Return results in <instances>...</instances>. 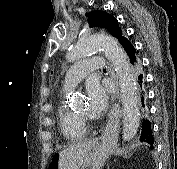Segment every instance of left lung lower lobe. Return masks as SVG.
I'll use <instances>...</instances> for the list:
<instances>
[{
	"instance_id": "1",
	"label": "left lung lower lobe",
	"mask_w": 177,
	"mask_h": 169,
	"mask_svg": "<svg viewBox=\"0 0 177 169\" xmlns=\"http://www.w3.org/2000/svg\"><path fill=\"white\" fill-rule=\"evenodd\" d=\"M125 52H126V56H127V60L129 61V63L133 66V69L135 70V72H140L141 71V66L139 63V59L137 56V51L135 49V47L133 46V44L127 43L124 46ZM138 83L142 84V79H143V75L140 74L138 76ZM142 104L143 107L144 105V98H142ZM140 141L142 142H147L149 144H153L154 143V139H153V135H152V129H151V123L148 119H144L143 123H142V132L140 135Z\"/></svg>"
}]
</instances>
